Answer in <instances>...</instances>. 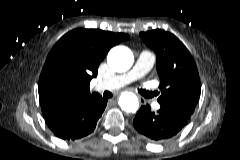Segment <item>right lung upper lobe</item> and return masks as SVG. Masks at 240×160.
Returning <instances> with one entry per match:
<instances>
[{
	"mask_svg": "<svg viewBox=\"0 0 240 160\" xmlns=\"http://www.w3.org/2000/svg\"><path fill=\"white\" fill-rule=\"evenodd\" d=\"M128 39L125 33L84 28L62 36L49 52L39 78L43 115L98 94H90L89 84L96 77L100 62L112 46Z\"/></svg>",
	"mask_w": 240,
	"mask_h": 160,
	"instance_id": "cb5924a9",
	"label": "right lung upper lobe"
}]
</instances>
